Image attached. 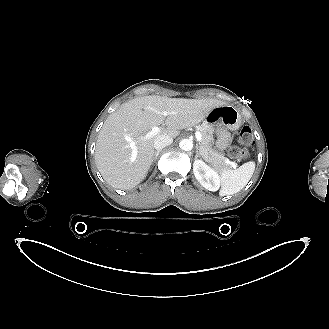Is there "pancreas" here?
I'll return each instance as SVG.
<instances>
[{"label":"pancreas","mask_w":329,"mask_h":329,"mask_svg":"<svg viewBox=\"0 0 329 329\" xmlns=\"http://www.w3.org/2000/svg\"><path fill=\"white\" fill-rule=\"evenodd\" d=\"M202 135V140L199 142L198 150L204 159L217 169L228 167L230 164L226 163L227 159L224 155L213 148L214 128L206 123L197 127Z\"/></svg>","instance_id":"pancreas-1"}]
</instances>
